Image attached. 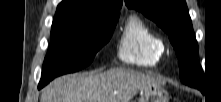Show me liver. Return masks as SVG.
<instances>
[{
    "label": "liver",
    "mask_w": 221,
    "mask_h": 102,
    "mask_svg": "<svg viewBox=\"0 0 221 102\" xmlns=\"http://www.w3.org/2000/svg\"><path fill=\"white\" fill-rule=\"evenodd\" d=\"M161 83L125 68L95 75L72 74L51 82L43 90L40 102H129L139 91Z\"/></svg>",
    "instance_id": "1"
}]
</instances>
